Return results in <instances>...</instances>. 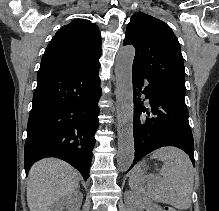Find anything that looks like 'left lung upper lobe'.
<instances>
[{"label": "left lung upper lobe", "instance_id": "obj_1", "mask_svg": "<svg viewBox=\"0 0 219 211\" xmlns=\"http://www.w3.org/2000/svg\"><path fill=\"white\" fill-rule=\"evenodd\" d=\"M127 44L136 50L132 69L185 98V70L180 44L166 23L145 13L134 14L123 41V45Z\"/></svg>", "mask_w": 219, "mask_h": 211}]
</instances>
